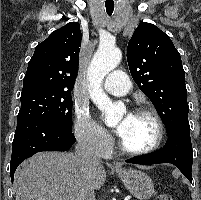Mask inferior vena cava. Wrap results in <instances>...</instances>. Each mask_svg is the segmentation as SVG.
Returning a JSON list of instances; mask_svg holds the SVG:
<instances>
[{
    "instance_id": "1",
    "label": "inferior vena cava",
    "mask_w": 201,
    "mask_h": 200,
    "mask_svg": "<svg viewBox=\"0 0 201 200\" xmlns=\"http://www.w3.org/2000/svg\"><path fill=\"white\" fill-rule=\"evenodd\" d=\"M76 160L77 164L83 168L100 163V158L95 153L92 145L84 140H79L76 145ZM79 200H96L93 188L88 184H83Z\"/></svg>"
}]
</instances>
